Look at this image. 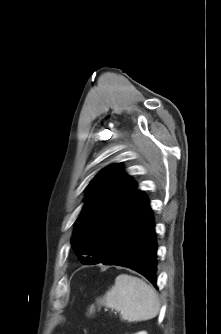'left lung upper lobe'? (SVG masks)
<instances>
[{"instance_id": "left-lung-upper-lobe-1", "label": "left lung upper lobe", "mask_w": 221, "mask_h": 334, "mask_svg": "<svg viewBox=\"0 0 221 334\" xmlns=\"http://www.w3.org/2000/svg\"><path fill=\"white\" fill-rule=\"evenodd\" d=\"M135 192L136 183L123 173L120 164L105 168L88 185L86 202L71 240L82 264L95 260L100 238Z\"/></svg>"}]
</instances>
